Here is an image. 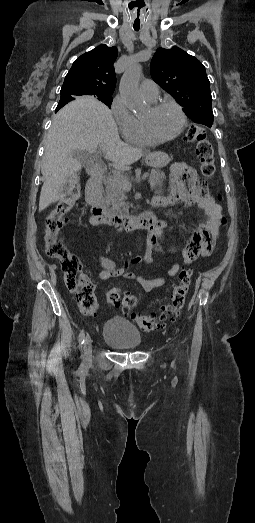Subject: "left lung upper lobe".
I'll return each instance as SVG.
<instances>
[{"mask_svg": "<svg viewBox=\"0 0 255 523\" xmlns=\"http://www.w3.org/2000/svg\"><path fill=\"white\" fill-rule=\"evenodd\" d=\"M151 76L171 94L195 122L213 124L212 96L205 67L183 50L159 48L151 61Z\"/></svg>", "mask_w": 255, "mask_h": 523, "instance_id": "1", "label": "left lung upper lobe"}]
</instances>
